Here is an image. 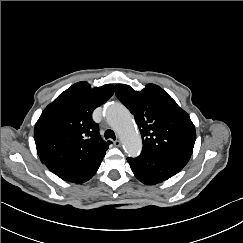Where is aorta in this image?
Wrapping results in <instances>:
<instances>
[{
    "mask_svg": "<svg viewBox=\"0 0 243 243\" xmlns=\"http://www.w3.org/2000/svg\"><path fill=\"white\" fill-rule=\"evenodd\" d=\"M106 119L118 132L125 152L131 157L139 155L142 142L128 109L120 103H111L106 109Z\"/></svg>",
    "mask_w": 243,
    "mask_h": 243,
    "instance_id": "762f6f07",
    "label": "aorta"
}]
</instances>
